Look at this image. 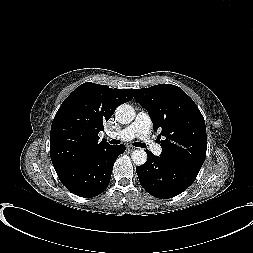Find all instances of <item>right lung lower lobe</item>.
<instances>
[{"instance_id":"right-lung-lower-lobe-1","label":"right lung lower lobe","mask_w":253,"mask_h":253,"mask_svg":"<svg viewBox=\"0 0 253 253\" xmlns=\"http://www.w3.org/2000/svg\"><path fill=\"white\" fill-rule=\"evenodd\" d=\"M125 149L123 144L109 145L80 163L56 172L60 181L70 192L80 197L91 198L108 187L113 165Z\"/></svg>"}]
</instances>
